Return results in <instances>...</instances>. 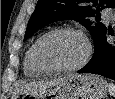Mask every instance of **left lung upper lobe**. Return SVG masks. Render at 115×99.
<instances>
[{"label": "left lung upper lobe", "instance_id": "5c2ea615", "mask_svg": "<svg viewBox=\"0 0 115 99\" xmlns=\"http://www.w3.org/2000/svg\"><path fill=\"white\" fill-rule=\"evenodd\" d=\"M100 7L101 9L115 8V0H38L28 22L24 40L45 25L71 19L80 22L90 31L95 48L106 27L102 23L93 25L89 17L99 15Z\"/></svg>", "mask_w": 115, "mask_h": 99}]
</instances>
